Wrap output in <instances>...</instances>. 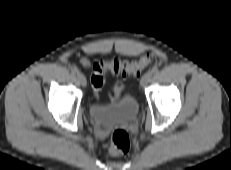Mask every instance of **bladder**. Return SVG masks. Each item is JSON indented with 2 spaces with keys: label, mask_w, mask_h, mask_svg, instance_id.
Here are the masks:
<instances>
[{
  "label": "bladder",
  "mask_w": 231,
  "mask_h": 170,
  "mask_svg": "<svg viewBox=\"0 0 231 170\" xmlns=\"http://www.w3.org/2000/svg\"><path fill=\"white\" fill-rule=\"evenodd\" d=\"M138 111L139 103L131 94L110 105L92 103L88 109L93 123L104 128L127 125L136 118Z\"/></svg>",
  "instance_id": "31cf9c89"
}]
</instances>
